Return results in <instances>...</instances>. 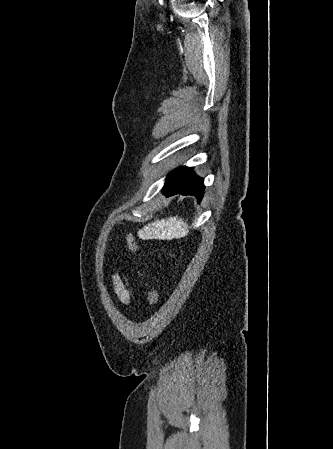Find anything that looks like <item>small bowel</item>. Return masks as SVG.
<instances>
[{"instance_id":"obj_1","label":"small bowel","mask_w":333,"mask_h":449,"mask_svg":"<svg viewBox=\"0 0 333 449\" xmlns=\"http://www.w3.org/2000/svg\"><path fill=\"white\" fill-rule=\"evenodd\" d=\"M114 290L121 302L128 304L132 297V291L128 282L120 276L113 277Z\"/></svg>"}]
</instances>
